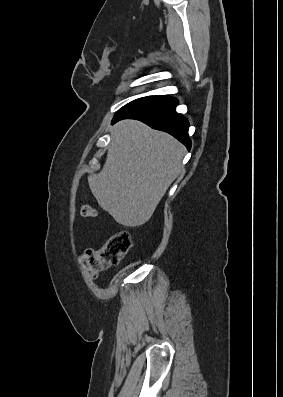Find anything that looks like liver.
Instances as JSON below:
<instances>
[{"label":"liver","instance_id":"1","mask_svg":"<svg viewBox=\"0 0 283 397\" xmlns=\"http://www.w3.org/2000/svg\"><path fill=\"white\" fill-rule=\"evenodd\" d=\"M185 147L167 133L124 120L111 129L101 172L89 186L99 206L126 227L145 224L182 170Z\"/></svg>","mask_w":283,"mask_h":397}]
</instances>
